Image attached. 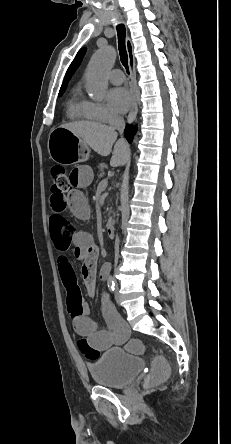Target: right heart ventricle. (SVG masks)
Instances as JSON below:
<instances>
[{"label": "right heart ventricle", "instance_id": "1", "mask_svg": "<svg viewBox=\"0 0 231 444\" xmlns=\"http://www.w3.org/2000/svg\"><path fill=\"white\" fill-rule=\"evenodd\" d=\"M68 116L76 120H95L89 111L87 101L78 92L69 100Z\"/></svg>", "mask_w": 231, "mask_h": 444}]
</instances>
